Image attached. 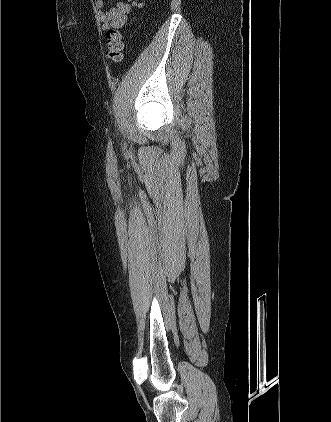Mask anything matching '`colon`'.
<instances>
[{
  "label": "colon",
  "mask_w": 331,
  "mask_h": 422,
  "mask_svg": "<svg viewBox=\"0 0 331 422\" xmlns=\"http://www.w3.org/2000/svg\"><path fill=\"white\" fill-rule=\"evenodd\" d=\"M106 36L107 56L110 60L119 62L124 48L123 35L116 29H109Z\"/></svg>",
  "instance_id": "5ec220e1"
}]
</instances>
